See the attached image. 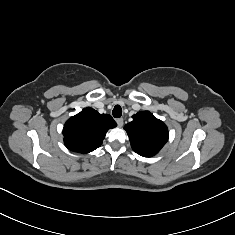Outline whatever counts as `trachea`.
<instances>
[{
	"instance_id": "3493384b",
	"label": "trachea",
	"mask_w": 235,
	"mask_h": 235,
	"mask_svg": "<svg viewBox=\"0 0 235 235\" xmlns=\"http://www.w3.org/2000/svg\"><path fill=\"white\" fill-rule=\"evenodd\" d=\"M112 114L115 118H120L122 115V108L119 105H116L112 111Z\"/></svg>"
}]
</instances>
